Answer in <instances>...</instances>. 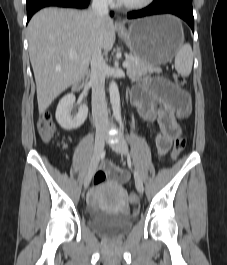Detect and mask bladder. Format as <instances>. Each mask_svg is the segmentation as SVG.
<instances>
[{
  "label": "bladder",
  "mask_w": 227,
  "mask_h": 265,
  "mask_svg": "<svg viewBox=\"0 0 227 265\" xmlns=\"http://www.w3.org/2000/svg\"><path fill=\"white\" fill-rule=\"evenodd\" d=\"M88 224L99 235L118 239L125 236L133 226L132 216L110 217L98 212H90Z\"/></svg>",
  "instance_id": "1"
}]
</instances>
